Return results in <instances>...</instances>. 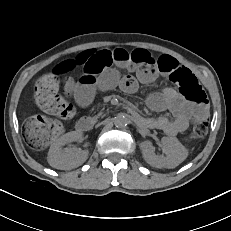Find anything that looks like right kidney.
Here are the masks:
<instances>
[{
	"label": "right kidney",
	"instance_id": "obj_1",
	"mask_svg": "<svg viewBox=\"0 0 231 231\" xmlns=\"http://www.w3.org/2000/svg\"><path fill=\"white\" fill-rule=\"evenodd\" d=\"M82 133L78 131L68 132L57 139L48 152V163L50 166L60 170H70L83 164L88 158V151L69 147H62L68 143L78 141Z\"/></svg>",
	"mask_w": 231,
	"mask_h": 231
}]
</instances>
